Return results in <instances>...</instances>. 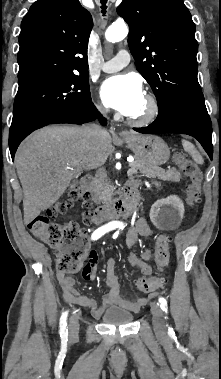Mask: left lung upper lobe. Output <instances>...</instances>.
Masks as SVG:
<instances>
[{
  "mask_svg": "<svg viewBox=\"0 0 221 379\" xmlns=\"http://www.w3.org/2000/svg\"><path fill=\"white\" fill-rule=\"evenodd\" d=\"M117 12L129 25L136 68L158 107L169 101L205 107L197 79L195 24L183 0H123Z\"/></svg>",
  "mask_w": 221,
  "mask_h": 379,
  "instance_id": "5c2ea615",
  "label": "left lung upper lobe"
}]
</instances>
